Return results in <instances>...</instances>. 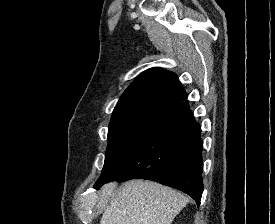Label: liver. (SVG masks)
Returning a JSON list of instances; mask_svg holds the SVG:
<instances>
[{
  "label": "liver",
  "instance_id": "1",
  "mask_svg": "<svg viewBox=\"0 0 275 224\" xmlns=\"http://www.w3.org/2000/svg\"><path fill=\"white\" fill-rule=\"evenodd\" d=\"M187 203L182 193L156 182L131 180L117 191L108 183L101 188L100 224H171Z\"/></svg>",
  "mask_w": 275,
  "mask_h": 224
}]
</instances>
